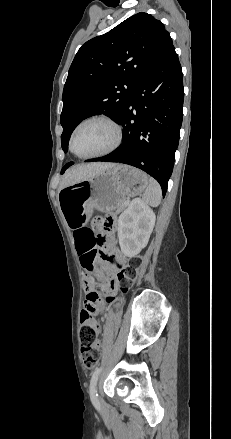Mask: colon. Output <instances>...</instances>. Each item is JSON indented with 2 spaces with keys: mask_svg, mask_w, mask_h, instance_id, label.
<instances>
[{
  "mask_svg": "<svg viewBox=\"0 0 231 439\" xmlns=\"http://www.w3.org/2000/svg\"><path fill=\"white\" fill-rule=\"evenodd\" d=\"M114 220L111 216L103 218L101 221V228L103 231H108L112 228ZM97 241H105L106 236L103 234L98 235ZM96 252L92 251L83 256L81 265L94 275H99L95 268ZM142 260L136 256L131 258L128 262L123 264L119 272L115 275V283L120 286L122 291H126L130 288L133 281L137 278L139 269L141 267ZM109 296L106 298L108 302H112L114 297L110 296L112 293H107ZM80 343L83 362L87 368H93L96 366L99 355L98 351L93 345L97 341L100 331V322L96 317L93 309L83 308L80 318Z\"/></svg>",
  "mask_w": 231,
  "mask_h": 439,
  "instance_id": "1",
  "label": "colon"
}]
</instances>
